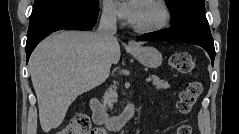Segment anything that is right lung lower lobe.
<instances>
[{"label": "right lung lower lobe", "instance_id": "obj_1", "mask_svg": "<svg viewBox=\"0 0 239 134\" xmlns=\"http://www.w3.org/2000/svg\"><path fill=\"white\" fill-rule=\"evenodd\" d=\"M98 13V6L63 2L31 14L25 47L27 61L37 44L50 33L61 29L89 30L95 24Z\"/></svg>", "mask_w": 239, "mask_h": 134}]
</instances>
